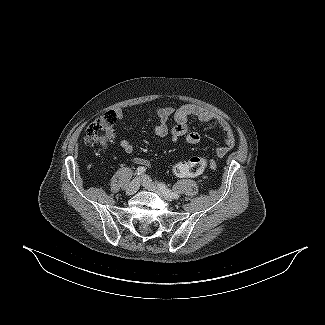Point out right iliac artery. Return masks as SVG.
I'll return each mask as SVG.
<instances>
[{"label": "right iliac artery", "instance_id": "82829eb1", "mask_svg": "<svg viewBox=\"0 0 325 325\" xmlns=\"http://www.w3.org/2000/svg\"><path fill=\"white\" fill-rule=\"evenodd\" d=\"M145 171H146L145 167L140 166L137 168L138 175H142Z\"/></svg>", "mask_w": 325, "mask_h": 325}]
</instances>
